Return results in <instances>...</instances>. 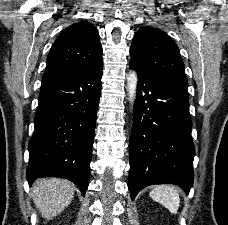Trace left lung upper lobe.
<instances>
[{
  "label": "left lung upper lobe",
  "mask_w": 228,
  "mask_h": 225,
  "mask_svg": "<svg viewBox=\"0 0 228 225\" xmlns=\"http://www.w3.org/2000/svg\"><path fill=\"white\" fill-rule=\"evenodd\" d=\"M130 55V63L150 78L188 86L179 48L164 31L140 28L133 38Z\"/></svg>",
  "instance_id": "left-lung-upper-lobe-1"
}]
</instances>
